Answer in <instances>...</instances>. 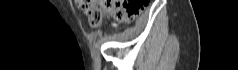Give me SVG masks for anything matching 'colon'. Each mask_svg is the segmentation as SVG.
<instances>
[{
  "label": "colon",
  "mask_w": 238,
  "mask_h": 70,
  "mask_svg": "<svg viewBox=\"0 0 238 70\" xmlns=\"http://www.w3.org/2000/svg\"><path fill=\"white\" fill-rule=\"evenodd\" d=\"M89 24L97 27L105 15L121 21L135 19L144 7V0H76Z\"/></svg>",
  "instance_id": "obj_1"
}]
</instances>
